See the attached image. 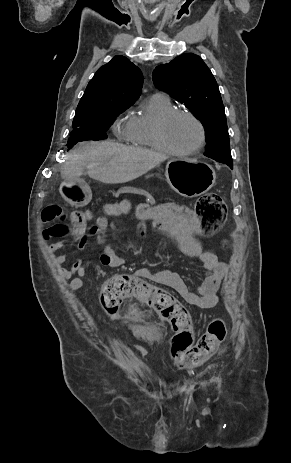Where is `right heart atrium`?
I'll return each mask as SVG.
<instances>
[{"mask_svg": "<svg viewBox=\"0 0 291 463\" xmlns=\"http://www.w3.org/2000/svg\"><path fill=\"white\" fill-rule=\"evenodd\" d=\"M116 136L121 140H128L130 135V121L126 118H119L113 125Z\"/></svg>", "mask_w": 291, "mask_h": 463, "instance_id": "1", "label": "right heart atrium"}]
</instances>
